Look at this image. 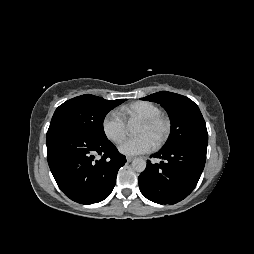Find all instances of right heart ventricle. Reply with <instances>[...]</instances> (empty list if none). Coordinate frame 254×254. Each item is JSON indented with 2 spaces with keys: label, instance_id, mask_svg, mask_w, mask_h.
I'll return each mask as SVG.
<instances>
[{
  "label": "right heart ventricle",
  "instance_id": "1",
  "mask_svg": "<svg viewBox=\"0 0 254 254\" xmlns=\"http://www.w3.org/2000/svg\"><path fill=\"white\" fill-rule=\"evenodd\" d=\"M120 114L125 118L140 120L161 115V109L149 101H136L121 108Z\"/></svg>",
  "mask_w": 254,
  "mask_h": 254
}]
</instances>
